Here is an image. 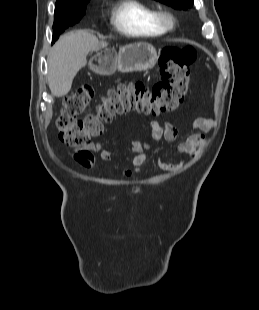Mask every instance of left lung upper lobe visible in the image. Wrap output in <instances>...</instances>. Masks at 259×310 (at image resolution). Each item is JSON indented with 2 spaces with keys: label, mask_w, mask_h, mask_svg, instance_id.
I'll return each mask as SVG.
<instances>
[{
  "label": "left lung upper lobe",
  "mask_w": 259,
  "mask_h": 310,
  "mask_svg": "<svg viewBox=\"0 0 259 310\" xmlns=\"http://www.w3.org/2000/svg\"><path fill=\"white\" fill-rule=\"evenodd\" d=\"M176 9L187 10L193 5V0H157Z\"/></svg>",
  "instance_id": "left-lung-upper-lobe-1"
}]
</instances>
